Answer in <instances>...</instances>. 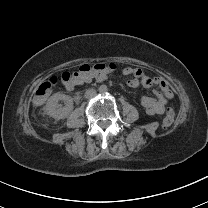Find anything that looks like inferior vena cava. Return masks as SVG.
Listing matches in <instances>:
<instances>
[{"instance_id":"inferior-vena-cava-1","label":"inferior vena cava","mask_w":208,"mask_h":208,"mask_svg":"<svg viewBox=\"0 0 208 208\" xmlns=\"http://www.w3.org/2000/svg\"><path fill=\"white\" fill-rule=\"evenodd\" d=\"M97 95L96 91L94 89H88L86 90L84 96L87 99L94 98Z\"/></svg>"}]
</instances>
